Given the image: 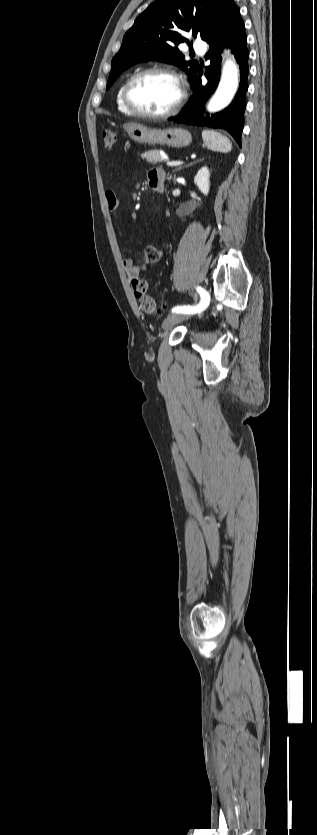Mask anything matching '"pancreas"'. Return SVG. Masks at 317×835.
<instances>
[{
  "instance_id": "pancreas-1",
  "label": "pancreas",
  "mask_w": 317,
  "mask_h": 835,
  "mask_svg": "<svg viewBox=\"0 0 317 835\" xmlns=\"http://www.w3.org/2000/svg\"><path fill=\"white\" fill-rule=\"evenodd\" d=\"M143 159H146L147 162L151 164H157L158 162L163 161V156L160 154L158 150H149L143 154H141Z\"/></svg>"
}]
</instances>
